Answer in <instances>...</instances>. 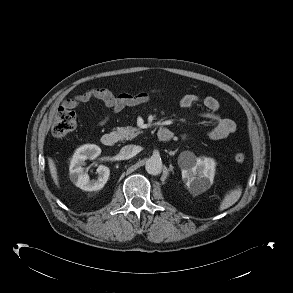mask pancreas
<instances>
[{"mask_svg":"<svg viewBox=\"0 0 293 293\" xmlns=\"http://www.w3.org/2000/svg\"><path fill=\"white\" fill-rule=\"evenodd\" d=\"M116 133L119 136V139L122 140H131L138 136L141 132L139 129L132 127V126H127V127H118L116 129Z\"/></svg>","mask_w":293,"mask_h":293,"instance_id":"pancreas-1","label":"pancreas"}]
</instances>
